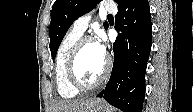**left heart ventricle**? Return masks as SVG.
Masks as SVG:
<instances>
[{"label":"left heart ventricle","mask_w":193,"mask_h":112,"mask_svg":"<svg viewBox=\"0 0 193 112\" xmlns=\"http://www.w3.org/2000/svg\"><path fill=\"white\" fill-rule=\"evenodd\" d=\"M105 56L101 54L96 42L85 44L78 56L76 70L85 83L95 82L104 70Z\"/></svg>","instance_id":"obj_1"}]
</instances>
